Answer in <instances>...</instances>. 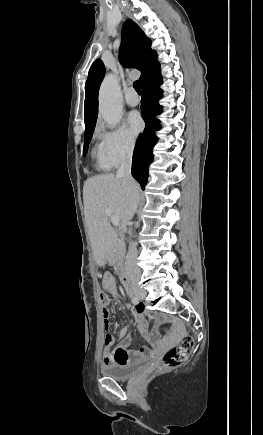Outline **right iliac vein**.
<instances>
[{
	"label": "right iliac vein",
	"instance_id": "right-iliac-vein-1",
	"mask_svg": "<svg viewBox=\"0 0 263 435\" xmlns=\"http://www.w3.org/2000/svg\"><path fill=\"white\" fill-rule=\"evenodd\" d=\"M133 292L138 298H144L146 296V292L139 287H135Z\"/></svg>",
	"mask_w": 263,
	"mask_h": 435
}]
</instances>
